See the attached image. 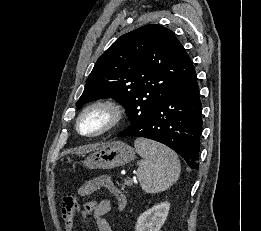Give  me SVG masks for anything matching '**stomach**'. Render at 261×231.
Wrapping results in <instances>:
<instances>
[{
    "label": "stomach",
    "instance_id": "stomach-1",
    "mask_svg": "<svg viewBox=\"0 0 261 231\" xmlns=\"http://www.w3.org/2000/svg\"><path fill=\"white\" fill-rule=\"evenodd\" d=\"M135 153L128 144L113 141L87 156L82 163L90 169H111L131 162Z\"/></svg>",
    "mask_w": 261,
    "mask_h": 231
}]
</instances>
